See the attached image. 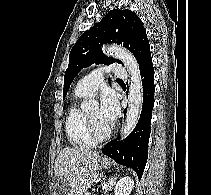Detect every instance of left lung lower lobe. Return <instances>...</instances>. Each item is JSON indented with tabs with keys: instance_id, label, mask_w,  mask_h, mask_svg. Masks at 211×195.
Returning a JSON list of instances; mask_svg holds the SVG:
<instances>
[{
	"instance_id": "0a47b994",
	"label": "left lung lower lobe",
	"mask_w": 211,
	"mask_h": 195,
	"mask_svg": "<svg viewBox=\"0 0 211 195\" xmlns=\"http://www.w3.org/2000/svg\"><path fill=\"white\" fill-rule=\"evenodd\" d=\"M139 68L143 85V105L138 123L128 137L121 141L113 140L107 143L102 152L117 163L132 168L140 179L148 158V141L154 106L155 87L152 58L145 61Z\"/></svg>"
}]
</instances>
